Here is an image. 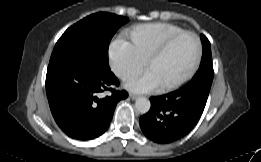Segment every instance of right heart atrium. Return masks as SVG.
<instances>
[{
    "instance_id": "d8ad5b80",
    "label": "right heart atrium",
    "mask_w": 261,
    "mask_h": 162,
    "mask_svg": "<svg viewBox=\"0 0 261 162\" xmlns=\"http://www.w3.org/2000/svg\"><path fill=\"white\" fill-rule=\"evenodd\" d=\"M109 64L119 78L126 79L142 70L145 59L137 53L129 41L117 38L109 46Z\"/></svg>"
}]
</instances>
